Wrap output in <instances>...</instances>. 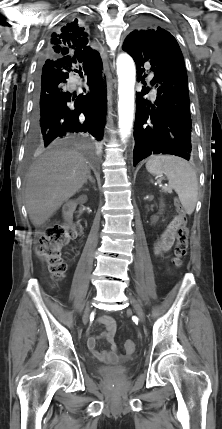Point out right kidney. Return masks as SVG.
I'll return each mask as SVG.
<instances>
[{
	"instance_id": "ca27d5eb",
	"label": "right kidney",
	"mask_w": 222,
	"mask_h": 429,
	"mask_svg": "<svg viewBox=\"0 0 222 429\" xmlns=\"http://www.w3.org/2000/svg\"><path fill=\"white\" fill-rule=\"evenodd\" d=\"M86 201H87V196L82 195L76 200H70L69 202H67L65 204V206L63 207L64 219L68 222H71V220L73 218V213L77 207V204L78 203H85Z\"/></svg>"
}]
</instances>
